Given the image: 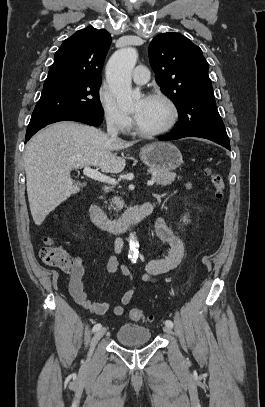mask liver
<instances>
[{
    "mask_svg": "<svg viewBox=\"0 0 265 407\" xmlns=\"http://www.w3.org/2000/svg\"><path fill=\"white\" fill-rule=\"evenodd\" d=\"M136 142L111 139L89 125L61 121L34 135L26 146L24 168L31 215L37 226L71 195L80 191L70 172L94 166L103 173H119L126 165L114 151Z\"/></svg>",
    "mask_w": 265,
    "mask_h": 407,
    "instance_id": "liver-1",
    "label": "liver"
}]
</instances>
